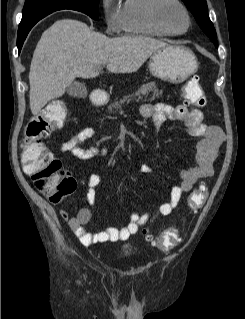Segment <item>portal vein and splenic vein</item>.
<instances>
[{
	"label": "portal vein and splenic vein",
	"mask_w": 245,
	"mask_h": 319,
	"mask_svg": "<svg viewBox=\"0 0 245 319\" xmlns=\"http://www.w3.org/2000/svg\"><path fill=\"white\" fill-rule=\"evenodd\" d=\"M101 69H103V66H99V67L97 68V70H101Z\"/></svg>",
	"instance_id": "1"
}]
</instances>
